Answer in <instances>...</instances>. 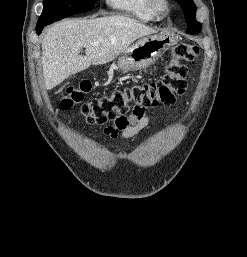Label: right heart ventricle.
I'll return each instance as SVG.
<instances>
[{
	"label": "right heart ventricle",
	"mask_w": 247,
	"mask_h": 257,
	"mask_svg": "<svg viewBox=\"0 0 247 257\" xmlns=\"http://www.w3.org/2000/svg\"><path fill=\"white\" fill-rule=\"evenodd\" d=\"M106 2L112 9L141 22H153L157 19L151 9V0H106Z\"/></svg>",
	"instance_id": "e07e8e85"
}]
</instances>
